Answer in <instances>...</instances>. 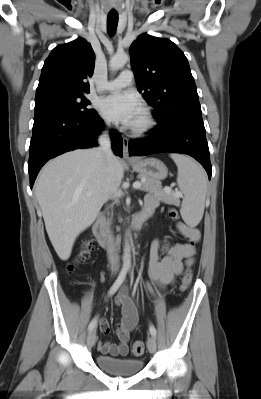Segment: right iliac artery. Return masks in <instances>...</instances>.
<instances>
[{
    "label": "right iliac artery",
    "mask_w": 261,
    "mask_h": 399,
    "mask_svg": "<svg viewBox=\"0 0 261 399\" xmlns=\"http://www.w3.org/2000/svg\"><path fill=\"white\" fill-rule=\"evenodd\" d=\"M126 274H127V269L123 268L117 279L115 280V282L113 283V285L111 286V288L108 291V297L112 296L113 294H115L117 292V290L119 289V287L122 285V283L124 282L125 278H126ZM97 317L93 318L92 321L90 322L89 326H88V330L92 331L94 328H96L97 326Z\"/></svg>",
    "instance_id": "right-iliac-artery-1"
}]
</instances>
